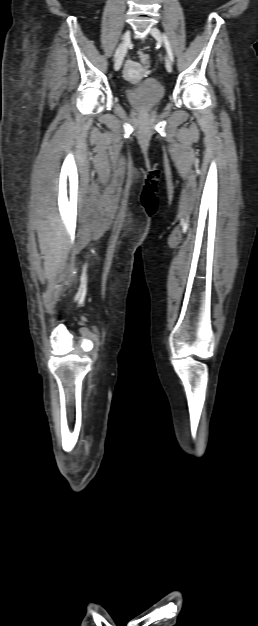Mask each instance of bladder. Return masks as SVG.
I'll use <instances>...</instances> for the list:
<instances>
[{
    "instance_id": "1",
    "label": "bladder",
    "mask_w": 258,
    "mask_h": 626,
    "mask_svg": "<svg viewBox=\"0 0 258 626\" xmlns=\"http://www.w3.org/2000/svg\"><path fill=\"white\" fill-rule=\"evenodd\" d=\"M165 89L155 78H146L125 92L128 103L139 110L155 107L163 99Z\"/></svg>"
}]
</instances>
